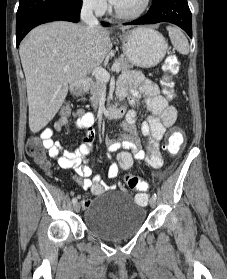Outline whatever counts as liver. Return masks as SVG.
I'll use <instances>...</instances> for the list:
<instances>
[{
	"label": "liver",
	"instance_id": "1",
	"mask_svg": "<svg viewBox=\"0 0 227 279\" xmlns=\"http://www.w3.org/2000/svg\"><path fill=\"white\" fill-rule=\"evenodd\" d=\"M130 26H122V31ZM112 49L110 31L55 21L34 28L19 47L26 78L29 128L43 129L65 101L68 84L100 65ZM69 65V70L64 67Z\"/></svg>",
	"mask_w": 227,
	"mask_h": 279
}]
</instances>
